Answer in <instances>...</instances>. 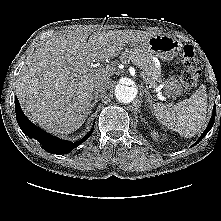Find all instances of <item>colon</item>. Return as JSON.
<instances>
[{
	"label": "colon",
	"mask_w": 221,
	"mask_h": 221,
	"mask_svg": "<svg viewBox=\"0 0 221 221\" xmlns=\"http://www.w3.org/2000/svg\"><path fill=\"white\" fill-rule=\"evenodd\" d=\"M181 62L183 64V70L181 71V79L185 84L193 86L198 79L199 67V62L193 46H184L181 55Z\"/></svg>",
	"instance_id": "colon-1"
}]
</instances>
